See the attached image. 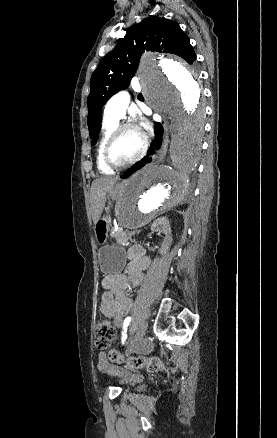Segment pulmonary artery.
I'll return each mask as SVG.
<instances>
[{
  "mask_svg": "<svg viewBox=\"0 0 277 438\" xmlns=\"http://www.w3.org/2000/svg\"><path fill=\"white\" fill-rule=\"evenodd\" d=\"M133 83L128 85L130 90H140L141 83L136 76H132ZM114 94L109 98V102L104 108V118L118 121L125 117L126 110L129 105L131 93L127 91L126 87H115Z\"/></svg>",
  "mask_w": 277,
  "mask_h": 438,
  "instance_id": "obj_1",
  "label": "pulmonary artery"
}]
</instances>
